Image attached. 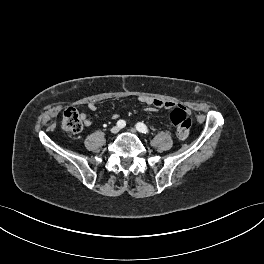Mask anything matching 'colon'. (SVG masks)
Returning <instances> with one entry per match:
<instances>
[{
    "label": "colon",
    "instance_id": "obj_1",
    "mask_svg": "<svg viewBox=\"0 0 264 264\" xmlns=\"http://www.w3.org/2000/svg\"><path fill=\"white\" fill-rule=\"evenodd\" d=\"M170 120L176 130V134L180 139L188 137L191 128V119L186 110L182 106H177L170 113ZM62 128L67 133L76 134L83 128V121L78 110L68 108L64 111L62 117Z\"/></svg>",
    "mask_w": 264,
    "mask_h": 264
}]
</instances>
